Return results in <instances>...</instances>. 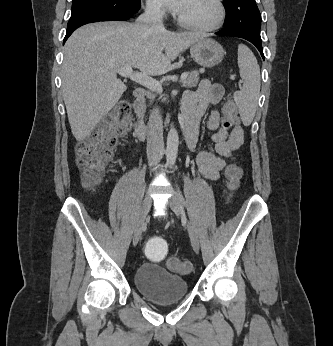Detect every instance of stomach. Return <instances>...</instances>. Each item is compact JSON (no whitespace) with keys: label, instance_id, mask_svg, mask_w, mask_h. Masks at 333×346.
I'll list each match as a JSON object with an SVG mask.
<instances>
[{"label":"stomach","instance_id":"stomach-1","mask_svg":"<svg viewBox=\"0 0 333 346\" xmlns=\"http://www.w3.org/2000/svg\"><path fill=\"white\" fill-rule=\"evenodd\" d=\"M190 54L197 64L210 68L222 61L224 50L215 40L202 38L190 46Z\"/></svg>","mask_w":333,"mask_h":346}]
</instances>
